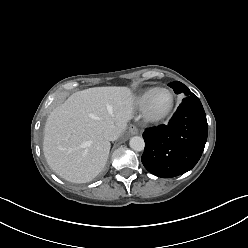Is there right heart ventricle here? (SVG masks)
<instances>
[{"label": "right heart ventricle", "mask_w": 248, "mask_h": 248, "mask_svg": "<svg viewBox=\"0 0 248 248\" xmlns=\"http://www.w3.org/2000/svg\"><path fill=\"white\" fill-rule=\"evenodd\" d=\"M153 89H154V88H153ZM153 89H149V90H147L146 92H144V93L141 95V97H140L139 100H138V104H139L140 106H143V104H144V102H145L147 96L149 95V93H150Z\"/></svg>", "instance_id": "1"}]
</instances>
